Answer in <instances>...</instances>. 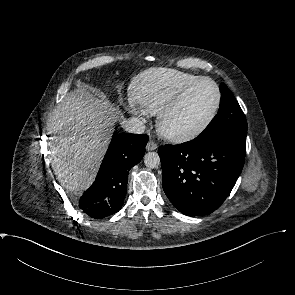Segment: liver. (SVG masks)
Returning <instances> with one entry per match:
<instances>
[{"label": "liver", "instance_id": "6515ba94", "mask_svg": "<svg viewBox=\"0 0 295 295\" xmlns=\"http://www.w3.org/2000/svg\"><path fill=\"white\" fill-rule=\"evenodd\" d=\"M100 97L71 92L47 120V134L54 136L52 166L69 191L82 192L93 183L111 138L118 112L103 94Z\"/></svg>", "mask_w": 295, "mask_h": 295}]
</instances>
